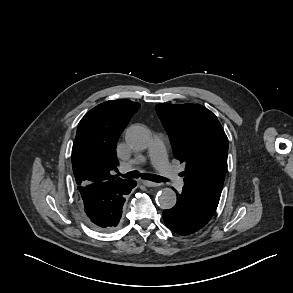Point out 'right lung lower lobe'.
Returning a JSON list of instances; mask_svg holds the SVG:
<instances>
[{"instance_id":"98d812e1","label":"right lung lower lobe","mask_w":293,"mask_h":293,"mask_svg":"<svg viewBox=\"0 0 293 293\" xmlns=\"http://www.w3.org/2000/svg\"><path fill=\"white\" fill-rule=\"evenodd\" d=\"M136 186L134 180L120 184L98 183L78 186L88 221L101 230H113L121 221L125 197Z\"/></svg>"}]
</instances>
